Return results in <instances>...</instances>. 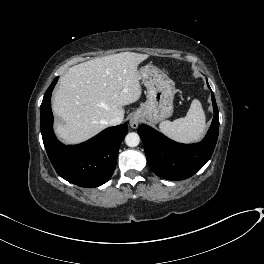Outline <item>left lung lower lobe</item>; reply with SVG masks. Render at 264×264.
<instances>
[{
	"label": "left lung lower lobe",
	"instance_id": "0a47b994",
	"mask_svg": "<svg viewBox=\"0 0 264 264\" xmlns=\"http://www.w3.org/2000/svg\"><path fill=\"white\" fill-rule=\"evenodd\" d=\"M210 88L209 84L207 83ZM214 117L203 141L180 144L142 124L138 129L151 170L168 180H183L194 175L210 159L218 138L219 117L213 92H211Z\"/></svg>",
	"mask_w": 264,
	"mask_h": 264
}]
</instances>
